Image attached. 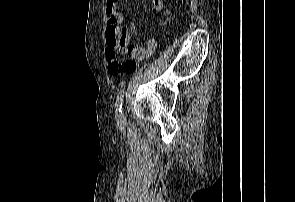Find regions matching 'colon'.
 Wrapping results in <instances>:
<instances>
[{"label": "colon", "mask_w": 295, "mask_h": 202, "mask_svg": "<svg viewBox=\"0 0 295 202\" xmlns=\"http://www.w3.org/2000/svg\"><path fill=\"white\" fill-rule=\"evenodd\" d=\"M108 24H109V27L106 34L108 47H118V49H120V46L123 42V38L120 32L121 27L118 26L115 22L108 23ZM118 69H125V68H118Z\"/></svg>", "instance_id": "5ec220e1"}]
</instances>
